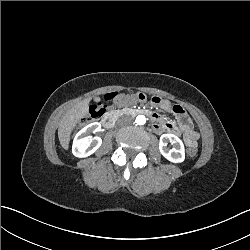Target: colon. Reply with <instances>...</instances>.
<instances>
[{
	"instance_id": "colon-1",
	"label": "colon",
	"mask_w": 250,
	"mask_h": 250,
	"mask_svg": "<svg viewBox=\"0 0 250 250\" xmlns=\"http://www.w3.org/2000/svg\"><path fill=\"white\" fill-rule=\"evenodd\" d=\"M134 97L136 100L140 102H145L148 100L147 95L143 92L136 93ZM123 98H124L123 95L117 92H111V93H107L104 96V102L105 103L118 102V101H121ZM149 101L155 104L162 103L161 95H150ZM106 110H107V105L104 103L92 104L89 108L87 116H85V118L82 120V124H89L92 122H97L106 113ZM174 111L180 114V121L183 127H187L189 120L185 115L181 114L183 110L180 107L175 106ZM186 143L188 147L187 152H186L187 155L190 157L194 156L197 152L196 141L193 139L187 138Z\"/></svg>"
}]
</instances>
